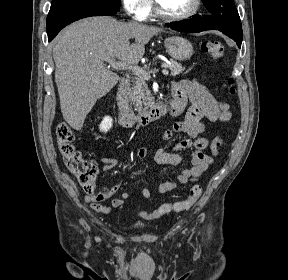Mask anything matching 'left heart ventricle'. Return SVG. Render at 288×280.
<instances>
[{
    "mask_svg": "<svg viewBox=\"0 0 288 280\" xmlns=\"http://www.w3.org/2000/svg\"><path fill=\"white\" fill-rule=\"evenodd\" d=\"M163 11L170 15H181L188 12L194 0H158Z\"/></svg>",
    "mask_w": 288,
    "mask_h": 280,
    "instance_id": "obj_1",
    "label": "left heart ventricle"
}]
</instances>
